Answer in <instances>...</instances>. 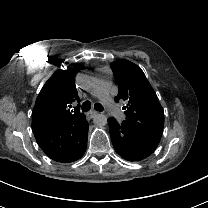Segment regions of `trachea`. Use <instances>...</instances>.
Returning a JSON list of instances; mask_svg holds the SVG:
<instances>
[{
    "label": "trachea",
    "mask_w": 208,
    "mask_h": 208,
    "mask_svg": "<svg viewBox=\"0 0 208 208\" xmlns=\"http://www.w3.org/2000/svg\"><path fill=\"white\" fill-rule=\"evenodd\" d=\"M94 108H95V110H97V111H104L103 106H102L101 104H99V103H96V104L94 105ZM90 109H91V103H90L89 101H85V102L82 104V106H81L82 112H87V111H89Z\"/></svg>",
    "instance_id": "1"
}]
</instances>
